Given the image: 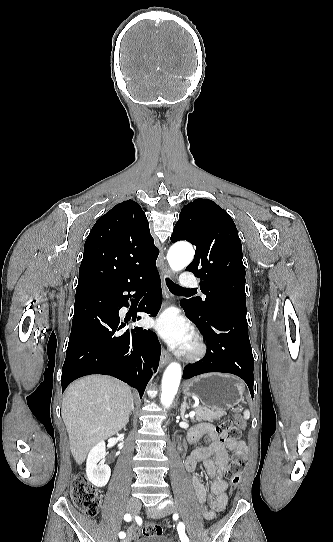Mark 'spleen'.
Here are the masks:
<instances>
[{
    "label": "spleen",
    "instance_id": "1",
    "mask_svg": "<svg viewBox=\"0 0 333 542\" xmlns=\"http://www.w3.org/2000/svg\"><path fill=\"white\" fill-rule=\"evenodd\" d=\"M243 418H244V420H249V418H250V412H249V410H244V412H243Z\"/></svg>",
    "mask_w": 333,
    "mask_h": 542
}]
</instances>
